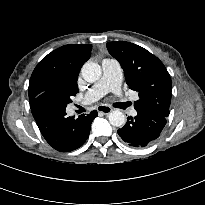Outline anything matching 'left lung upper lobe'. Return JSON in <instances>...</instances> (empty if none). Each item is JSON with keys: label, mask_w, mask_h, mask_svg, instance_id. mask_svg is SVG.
Here are the masks:
<instances>
[{"label": "left lung upper lobe", "mask_w": 205, "mask_h": 205, "mask_svg": "<svg viewBox=\"0 0 205 205\" xmlns=\"http://www.w3.org/2000/svg\"><path fill=\"white\" fill-rule=\"evenodd\" d=\"M124 70L129 88L139 93L137 111L169 116L171 78L164 64L146 49L126 41L106 44Z\"/></svg>", "instance_id": "1"}]
</instances>
